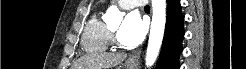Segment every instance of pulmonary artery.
Returning <instances> with one entry per match:
<instances>
[{
	"label": "pulmonary artery",
	"instance_id": "e3ab8cb5",
	"mask_svg": "<svg viewBox=\"0 0 246 69\" xmlns=\"http://www.w3.org/2000/svg\"><path fill=\"white\" fill-rule=\"evenodd\" d=\"M120 5L125 9H131L143 6L146 2L139 0H123L119 1Z\"/></svg>",
	"mask_w": 246,
	"mask_h": 69
}]
</instances>
